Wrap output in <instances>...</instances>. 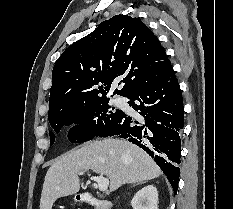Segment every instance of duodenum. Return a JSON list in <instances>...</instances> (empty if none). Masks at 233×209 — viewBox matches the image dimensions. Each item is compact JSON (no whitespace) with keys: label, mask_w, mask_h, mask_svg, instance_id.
Masks as SVG:
<instances>
[{"label":"duodenum","mask_w":233,"mask_h":209,"mask_svg":"<svg viewBox=\"0 0 233 209\" xmlns=\"http://www.w3.org/2000/svg\"><path fill=\"white\" fill-rule=\"evenodd\" d=\"M79 200L84 204L94 207L95 209H111L112 207L111 201L95 198L89 193H83Z\"/></svg>","instance_id":"duodenum-1"}]
</instances>
